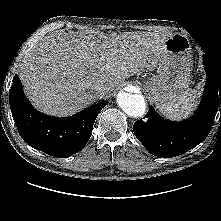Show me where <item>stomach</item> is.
Returning <instances> with one entry per match:
<instances>
[{"label": "stomach", "instance_id": "stomach-1", "mask_svg": "<svg viewBox=\"0 0 221 221\" xmlns=\"http://www.w3.org/2000/svg\"><path fill=\"white\" fill-rule=\"evenodd\" d=\"M164 51L157 75L145 81V89L158 108L179 102L188 93L190 84L189 39L184 35L174 34L165 40Z\"/></svg>", "mask_w": 221, "mask_h": 221}]
</instances>
